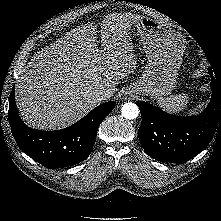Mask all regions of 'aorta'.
Wrapping results in <instances>:
<instances>
[{"label":"aorta","instance_id":"aorta-1","mask_svg":"<svg viewBox=\"0 0 221 221\" xmlns=\"http://www.w3.org/2000/svg\"><path fill=\"white\" fill-rule=\"evenodd\" d=\"M121 112L124 118L133 120L139 115V108L135 103L128 102L122 106Z\"/></svg>","mask_w":221,"mask_h":221}]
</instances>
